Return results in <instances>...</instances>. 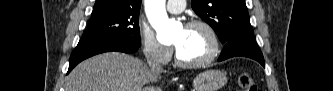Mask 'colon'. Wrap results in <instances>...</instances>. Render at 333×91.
Here are the masks:
<instances>
[{"label": "colon", "instance_id": "obj_1", "mask_svg": "<svg viewBox=\"0 0 333 91\" xmlns=\"http://www.w3.org/2000/svg\"><path fill=\"white\" fill-rule=\"evenodd\" d=\"M238 84L242 91H256L257 90V86H256L254 80L247 73H243L239 76Z\"/></svg>", "mask_w": 333, "mask_h": 91}]
</instances>
